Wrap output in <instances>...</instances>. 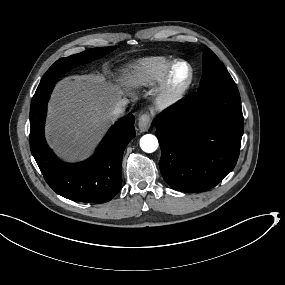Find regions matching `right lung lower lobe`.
<instances>
[{
	"label": "right lung lower lobe",
	"instance_id": "obj_1",
	"mask_svg": "<svg viewBox=\"0 0 285 285\" xmlns=\"http://www.w3.org/2000/svg\"><path fill=\"white\" fill-rule=\"evenodd\" d=\"M54 84L37 88L30 107V149L46 182L59 195L85 203H105L121 189L122 156L135 137L134 116L114 125L96 153L86 161L59 160L46 143L44 124L47 101Z\"/></svg>",
	"mask_w": 285,
	"mask_h": 285
}]
</instances>
